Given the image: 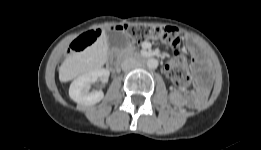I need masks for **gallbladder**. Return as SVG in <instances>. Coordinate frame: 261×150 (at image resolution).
Segmentation results:
<instances>
[{
	"label": "gallbladder",
	"mask_w": 261,
	"mask_h": 150,
	"mask_svg": "<svg viewBox=\"0 0 261 150\" xmlns=\"http://www.w3.org/2000/svg\"><path fill=\"white\" fill-rule=\"evenodd\" d=\"M106 38L110 50H113L115 48L121 50L127 46V39L124 33L121 31L108 30L106 32Z\"/></svg>",
	"instance_id": "1"
}]
</instances>
